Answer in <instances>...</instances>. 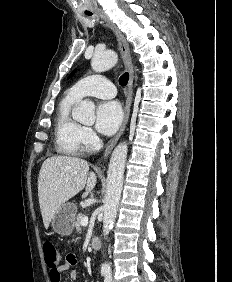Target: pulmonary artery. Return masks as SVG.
<instances>
[{"instance_id": "1", "label": "pulmonary artery", "mask_w": 232, "mask_h": 282, "mask_svg": "<svg viewBox=\"0 0 232 282\" xmlns=\"http://www.w3.org/2000/svg\"><path fill=\"white\" fill-rule=\"evenodd\" d=\"M68 94L80 100L86 96H93L103 99L115 97L116 88L112 82L101 75H92L75 83Z\"/></svg>"}]
</instances>
